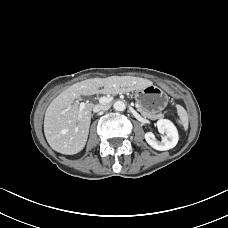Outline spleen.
Listing matches in <instances>:
<instances>
[{"instance_id":"spleen-1","label":"spleen","mask_w":228,"mask_h":228,"mask_svg":"<svg viewBox=\"0 0 228 228\" xmlns=\"http://www.w3.org/2000/svg\"><path fill=\"white\" fill-rule=\"evenodd\" d=\"M176 108H177V112H178V116H179V119L177 120V122H178V124L182 125L185 130H187L188 129V115H187V112L180 105H177Z\"/></svg>"}]
</instances>
